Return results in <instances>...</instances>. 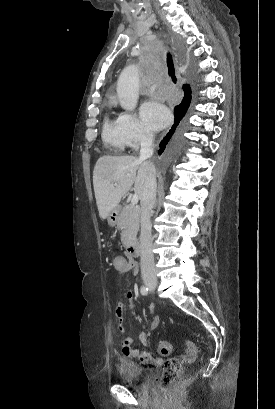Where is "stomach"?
Masks as SVG:
<instances>
[{
  "mask_svg": "<svg viewBox=\"0 0 275 409\" xmlns=\"http://www.w3.org/2000/svg\"><path fill=\"white\" fill-rule=\"evenodd\" d=\"M120 215H121V207L118 205V207H114L112 209L111 213H109L107 217L108 225L110 227H116L120 221Z\"/></svg>",
  "mask_w": 275,
  "mask_h": 409,
  "instance_id": "0dacf381",
  "label": "stomach"
}]
</instances>
